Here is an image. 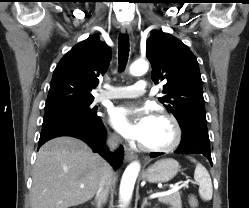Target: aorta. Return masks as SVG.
Masks as SVG:
<instances>
[{"instance_id": "762f6f07", "label": "aorta", "mask_w": 249, "mask_h": 208, "mask_svg": "<svg viewBox=\"0 0 249 208\" xmlns=\"http://www.w3.org/2000/svg\"><path fill=\"white\" fill-rule=\"evenodd\" d=\"M149 65L145 60H137L130 66V73L134 76H140L148 71ZM140 171V163L135 161L130 163L125 169L119 188V199L124 205L131 201L134 185Z\"/></svg>"}]
</instances>
